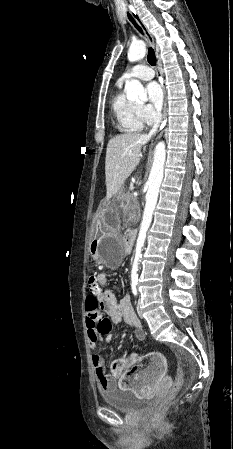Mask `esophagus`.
<instances>
[{
	"instance_id": "obj_1",
	"label": "esophagus",
	"mask_w": 233,
	"mask_h": 449,
	"mask_svg": "<svg viewBox=\"0 0 233 449\" xmlns=\"http://www.w3.org/2000/svg\"><path fill=\"white\" fill-rule=\"evenodd\" d=\"M130 13L132 15V17L134 18V20L141 26V28L143 29L146 38L148 40V43L152 46L155 47V41L154 38L151 34V32L149 31L148 27L146 26V24L143 22V20L141 19L140 15L138 14V12L134 9H130ZM163 87V93H164V105H163V114H162V119L165 118L166 116V112H167V98H166V90Z\"/></svg>"
}]
</instances>
